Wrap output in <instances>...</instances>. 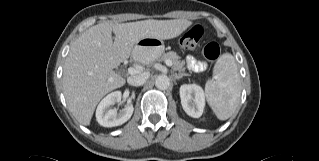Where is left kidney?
Listing matches in <instances>:
<instances>
[{
    "instance_id": "obj_1",
    "label": "left kidney",
    "mask_w": 319,
    "mask_h": 161,
    "mask_svg": "<svg viewBox=\"0 0 319 161\" xmlns=\"http://www.w3.org/2000/svg\"><path fill=\"white\" fill-rule=\"evenodd\" d=\"M181 104L184 111L193 118H199L204 111L205 96L203 89L196 84H184L180 87Z\"/></svg>"
}]
</instances>
